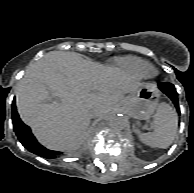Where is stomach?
I'll list each match as a JSON object with an SVG mask.
<instances>
[{"mask_svg": "<svg viewBox=\"0 0 194 193\" xmlns=\"http://www.w3.org/2000/svg\"><path fill=\"white\" fill-rule=\"evenodd\" d=\"M157 96L156 86L152 83H145L138 90L125 96L120 102V108L130 117L144 120L156 109Z\"/></svg>", "mask_w": 194, "mask_h": 193, "instance_id": "0dacf381", "label": "stomach"}]
</instances>
